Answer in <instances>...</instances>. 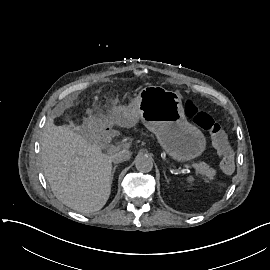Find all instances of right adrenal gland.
I'll list each match as a JSON object with an SVG mask.
<instances>
[{
  "label": "right adrenal gland",
  "instance_id": "obj_1",
  "mask_svg": "<svg viewBox=\"0 0 270 270\" xmlns=\"http://www.w3.org/2000/svg\"><path fill=\"white\" fill-rule=\"evenodd\" d=\"M117 168V165H115L111 171V181L113 180V176H114V173H115V170Z\"/></svg>",
  "mask_w": 270,
  "mask_h": 270
}]
</instances>
